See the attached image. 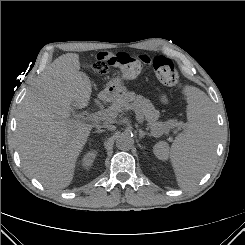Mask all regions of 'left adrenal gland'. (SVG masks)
<instances>
[{
	"instance_id": "a2214340",
	"label": "left adrenal gland",
	"mask_w": 245,
	"mask_h": 245,
	"mask_svg": "<svg viewBox=\"0 0 245 245\" xmlns=\"http://www.w3.org/2000/svg\"><path fill=\"white\" fill-rule=\"evenodd\" d=\"M145 136H151L149 133L143 131L142 129H139V138L142 139Z\"/></svg>"
}]
</instances>
